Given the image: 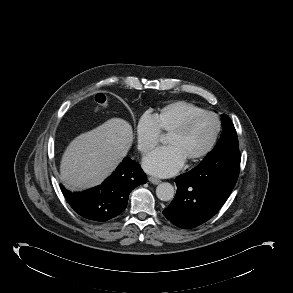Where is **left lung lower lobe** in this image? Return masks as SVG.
I'll list each match as a JSON object with an SVG mask.
<instances>
[{
	"label": "left lung lower lobe",
	"instance_id": "left-lung-lower-lobe-1",
	"mask_svg": "<svg viewBox=\"0 0 293 293\" xmlns=\"http://www.w3.org/2000/svg\"><path fill=\"white\" fill-rule=\"evenodd\" d=\"M240 152H229L213 166L198 165L176 177L177 193L163 211L174 225L194 228L212 218L228 199L240 170Z\"/></svg>",
	"mask_w": 293,
	"mask_h": 293
}]
</instances>
